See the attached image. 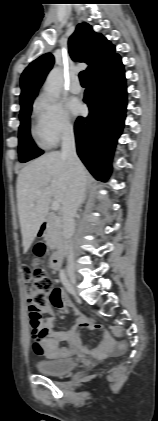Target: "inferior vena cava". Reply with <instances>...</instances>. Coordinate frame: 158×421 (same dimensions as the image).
I'll return each mask as SVG.
<instances>
[{"label": "inferior vena cava", "mask_w": 158, "mask_h": 421, "mask_svg": "<svg viewBox=\"0 0 158 421\" xmlns=\"http://www.w3.org/2000/svg\"><path fill=\"white\" fill-rule=\"evenodd\" d=\"M62 156L67 159L70 184L62 203L63 236L67 240V260L71 264L73 254L70 246L75 230L74 217L83 203L87 183L86 170L77 156L73 127L66 125L62 133Z\"/></svg>", "instance_id": "1"}]
</instances>
